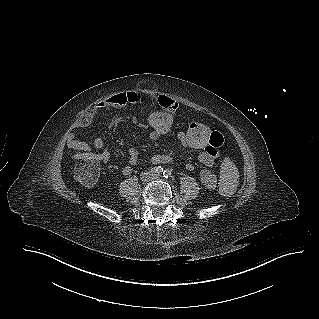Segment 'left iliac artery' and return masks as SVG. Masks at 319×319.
I'll list each match as a JSON object with an SVG mask.
<instances>
[{
    "instance_id": "1",
    "label": "left iliac artery",
    "mask_w": 319,
    "mask_h": 319,
    "mask_svg": "<svg viewBox=\"0 0 319 319\" xmlns=\"http://www.w3.org/2000/svg\"><path fill=\"white\" fill-rule=\"evenodd\" d=\"M171 175H172V173H171V171H170L169 169L164 170L163 176H164L165 178L168 179V178L171 177Z\"/></svg>"
}]
</instances>
